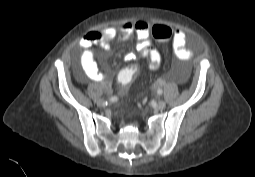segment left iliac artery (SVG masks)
<instances>
[{
  "label": "left iliac artery",
  "instance_id": "obj_1",
  "mask_svg": "<svg viewBox=\"0 0 255 177\" xmlns=\"http://www.w3.org/2000/svg\"><path fill=\"white\" fill-rule=\"evenodd\" d=\"M157 93H158L159 95H161V94L163 93L162 89H158V90H157Z\"/></svg>",
  "mask_w": 255,
  "mask_h": 177
}]
</instances>
